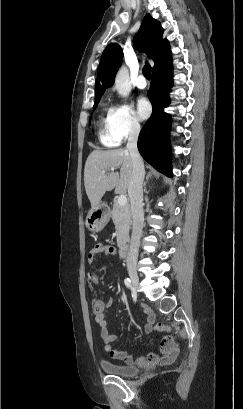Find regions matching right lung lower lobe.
Returning a JSON list of instances; mask_svg holds the SVG:
<instances>
[{"label":"right lung lower lobe","mask_w":243,"mask_h":409,"mask_svg":"<svg viewBox=\"0 0 243 409\" xmlns=\"http://www.w3.org/2000/svg\"><path fill=\"white\" fill-rule=\"evenodd\" d=\"M172 84L170 52L152 69V82L148 96L153 111L138 139V150L143 158L156 170L168 176H172L171 149L168 141L171 118L164 112V108L170 102L168 93Z\"/></svg>","instance_id":"98d812e1"}]
</instances>
